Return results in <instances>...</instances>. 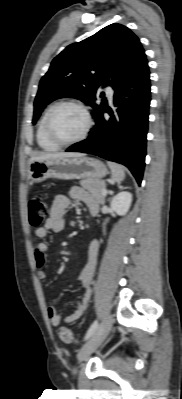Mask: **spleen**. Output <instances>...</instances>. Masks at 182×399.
I'll list each match as a JSON object with an SVG mask.
<instances>
[{"label":"spleen","mask_w":182,"mask_h":399,"mask_svg":"<svg viewBox=\"0 0 182 399\" xmlns=\"http://www.w3.org/2000/svg\"><path fill=\"white\" fill-rule=\"evenodd\" d=\"M108 166L111 169L113 181L121 182L125 178L124 168L121 165L113 162H108Z\"/></svg>","instance_id":"1"}]
</instances>
